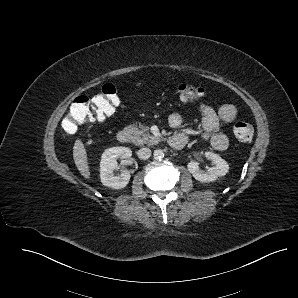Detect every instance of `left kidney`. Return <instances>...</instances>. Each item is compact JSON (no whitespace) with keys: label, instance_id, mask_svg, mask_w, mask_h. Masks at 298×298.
I'll return each mask as SVG.
<instances>
[{"label":"left kidney","instance_id":"1","mask_svg":"<svg viewBox=\"0 0 298 298\" xmlns=\"http://www.w3.org/2000/svg\"><path fill=\"white\" fill-rule=\"evenodd\" d=\"M205 157L212 161L213 167H210L206 172L199 168V163L191 161L188 163V171L193 177L200 182H213L218 177L225 176L229 170L228 163L218 154L213 152H205Z\"/></svg>","mask_w":298,"mask_h":298}]
</instances>
